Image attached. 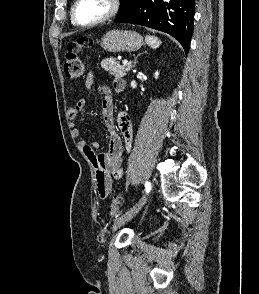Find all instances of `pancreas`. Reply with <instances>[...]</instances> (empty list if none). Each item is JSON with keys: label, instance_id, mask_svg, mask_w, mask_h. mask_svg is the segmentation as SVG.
Segmentation results:
<instances>
[{"label": "pancreas", "instance_id": "cf45deb5", "mask_svg": "<svg viewBox=\"0 0 259 294\" xmlns=\"http://www.w3.org/2000/svg\"><path fill=\"white\" fill-rule=\"evenodd\" d=\"M101 66L115 77H124L131 70V65H120L116 58L102 60Z\"/></svg>", "mask_w": 259, "mask_h": 294}]
</instances>
